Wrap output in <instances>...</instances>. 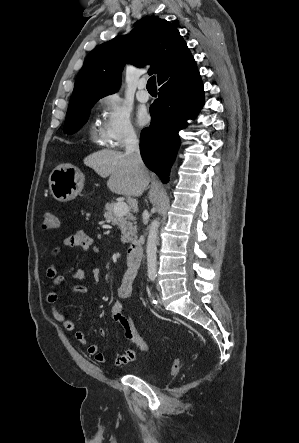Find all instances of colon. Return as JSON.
I'll list each match as a JSON object with an SVG mask.
<instances>
[{
	"label": "colon",
	"mask_w": 299,
	"mask_h": 443,
	"mask_svg": "<svg viewBox=\"0 0 299 443\" xmlns=\"http://www.w3.org/2000/svg\"><path fill=\"white\" fill-rule=\"evenodd\" d=\"M42 227L45 230L56 229L58 227V218L53 211H46L44 213ZM122 322L129 341L141 352H148L149 344L139 334L137 328L133 323L132 318L128 314H125V316H123ZM179 369H180V362L178 360H175L172 364L171 372L177 373Z\"/></svg>",
	"instance_id": "5ec220e1"
}]
</instances>
